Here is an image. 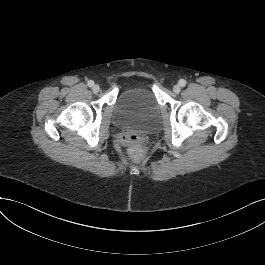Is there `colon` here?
<instances>
[{"mask_svg": "<svg viewBox=\"0 0 265 265\" xmlns=\"http://www.w3.org/2000/svg\"><path fill=\"white\" fill-rule=\"evenodd\" d=\"M122 139L130 144L131 153L134 157L140 158L147 152V148L140 145V136L136 133L124 134Z\"/></svg>", "mask_w": 265, "mask_h": 265, "instance_id": "5ec220e1", "label": "colon"}]
</instances>
